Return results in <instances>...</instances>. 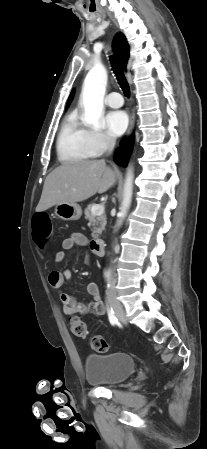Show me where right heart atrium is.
Returning <instances> with one entry per match:
<instances>
[{
	"mask_svg": "<svg viewBox=\"0 0 207 449\" xmlns=\"http://www.w3.org/2000/svg\"><path fill=\"white\" fill-rule=\"evenodd\" d=\"M88 139L95 155H101L114 146V140L102 131H88Z\"/></svg>",
	"mask_w": 207,
	"mask_h": 449,
	"instance_id": "obj_1",
	"label": "right heart atrium"
}]
</instances>
